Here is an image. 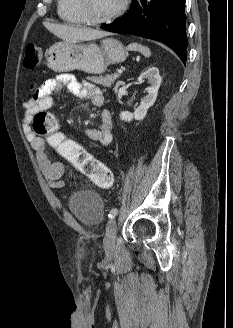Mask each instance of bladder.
I'll return each instance as SVG.
<instances>
[{"label":"bladder","mask_w":233,"mask_h":328,"mask_svg":"<svg viewBox=\"0 0 233 328\" xmlns=\"http://www.w3.org/2000/svg\"><path fill=\"white\" fill-rule=\"evenodd\" d=\"M68 208L74 217L85 226H96L103 219L101 198L88 190L72 193L68 199Z\"/></svg>","instance_id":"bladder-1"}]
</instances>
